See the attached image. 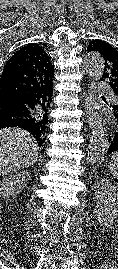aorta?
<instances>
[{
    "label": "aorta",
    "mask_w": 118,
    "mask_h": 269,
    "mask_svg": "<svg viewBox=\"0 0 118 269\" xmlns=\"http://www.w3.org/2000/svg\"><path fill=\"white\" fill-rule=\"evenodd\" d=\"M84 64L90 76L95 78L102 77L104 72V59L99 54L87 55ZM108 145L109 143L102 125V120L98 117L92 129L87 161L91 164L101 163L107 152Z\"/></svg>",
    "instance_id": "aorta-1"
}]
</instances>
